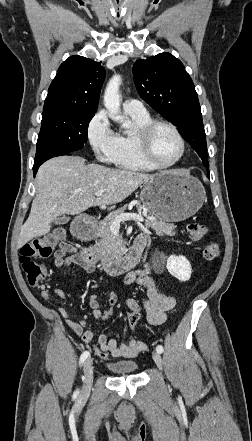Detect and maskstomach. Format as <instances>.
I'll return each instance as SVG.
<instances>
[{"instance_id": "0dacf381", "label": "stomach", "mask_w": 252, "mask_h": 441, "mask_svg": "<svg viewBox=\"0 0 252 441\" xmlns=\"http://www.w3.org/2000/svg\"><path fill=\"white\" fill-rule=\"evenodd\" d=\"M140 200L159 220L179 222L198 212L205 200V189L197 178L184 171H164L144 184Z\"/></svg>"}]
</instances>
